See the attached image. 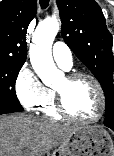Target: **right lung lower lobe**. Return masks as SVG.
Returning <instances> with one entry per match:
<instances>
[{
    "instance_id": "obj_1",
    "label": "right lung lower lobe",
    "mask_w": 114,
    "mask_h": 156,
    "mask_svg": "<svg viewBox=\"0 0 114 156\" xmlns=\"http://www.w3.org/2000/svg\"><path fill=\"white\" fill-rule=\"evenodd\" d=\"M15 112L14 110H6V109H0V115L5 113H12Z\"/></svg>"
}]
</instances>
